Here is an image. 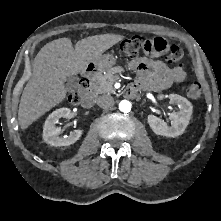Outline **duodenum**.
<instances>
[{
	"label": "duodenum",
	"instance_id": "duodenum-1",
	"mask_svg": "<svg viewBox=\"0 0 221 221\" xmlns=\"http://www.w3.org/2000/svg\"><path fill=\"white\" fill-rule=\"evenodd\" d=\"M97 67L94 64H89L85 70L84 76H83V83L85 85L84 91H83V105L85 107H90L93 104V97L90 91V85L92 80L95 78L97 74ZM125 94L128 97H134L137 94V89L134 87H128L125 90Z\"/></svg>",
	"mask_w": 221,
	"mask_h": 221
}]
</instances>
